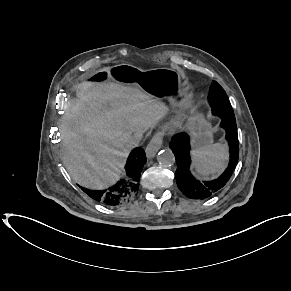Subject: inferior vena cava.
Segmentation results:
<instances>
[{
  "mask_svg": "<svg viewBox=\"0 0 291 291\" xmlns=\"http://www.w3.org/2000/svg\"><path fill=\"white\" fill-rule=\"evenodd\" d=\"M140 136L138 135H132L128 140H127V143H128V146L130 148H133V147H136L139 145L140 143Z\"/></svg>",
  "mask_w": 291,
  "mask_h": 291,
  "instance_id": "obj_1",
  "label": "inferior vena cava"
}]
</instances>
